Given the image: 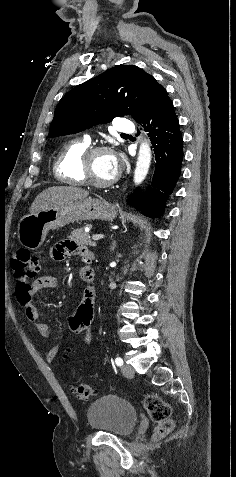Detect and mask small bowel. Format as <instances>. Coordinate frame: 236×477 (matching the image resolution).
<instances>
[{
	"instance_id": "1",
	"label": "small bowel",
	"mask_w": 236,
	"mask_h": 477,
	"mask_svg": "<svg viewBox=\"0 0 236 477\" xmlns=\"http://www.w3.org/2000/svg\"><path fill=\"white\" fill-rule=\"evenodd\" d=\"M72 255H79L85 263L93 259L90 251L74 241L63 240L57 243L52 249L54 260L61 261ZM81 277L84 281L91 283L94 279L93 270L84 266L81 269ZM60 280L54 276H42L33 282L32 289L29 292L17 295L19 303L25 309L28 319L35 323L40 335L45 339H52L53 333L50 326L40 320L43 309L34 300V295L42 289H56L60 287ZM95 318V291L92 287L85 290L83 299L78 306L75 314L70 319V329L73 333L82 334L84 344L89 345L92 341V329ZM58 346H53L47 353V361L52 363L59 355Z\"/></svg>"
}]
</instances>
